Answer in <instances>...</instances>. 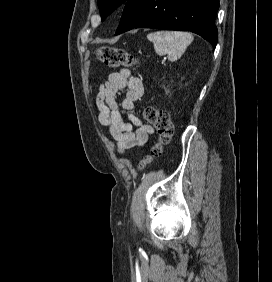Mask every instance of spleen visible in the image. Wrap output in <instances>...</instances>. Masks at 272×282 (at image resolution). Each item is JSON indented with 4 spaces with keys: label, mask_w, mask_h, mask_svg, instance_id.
Segmentation results:
<instances>
[{
    "label": "spleen",
    "mask_w": 272,
    "mask_h": 282,
    "mask_svg": "<svg viewBox=\"0 0 272 282\" xmlns=\"http://www.w3.org/2000/svg\"><path fill=\"white\" fill-rule=\"evenodd\" d=\"M147 39L153 42L154 50L158 55L167 54L170 61H176L192 43L193 36L187 32L156 31L149 33Z\"/></svg>",
    "instance_id": "1"
}]
</instances>
